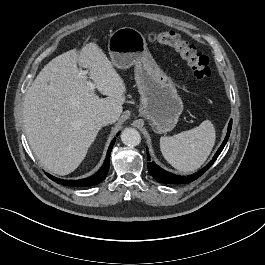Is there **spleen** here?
<instances>
[{"mask_svg": "<svg viewBox=\"0 0 265 265\" xmlns=\"http://www.w3.org/2000/svg\"><path fill=\"white\" fill-rule=\"evenodd\" d=\"M216 140L210 120L172 137L160 138V149L169 164L181 172L195 171L204 164Z\"/></svg>", "mask_w": 265, "mask_h": 265, "instance_id": "spleen-1", "label": "spleen"}]
</instances>
